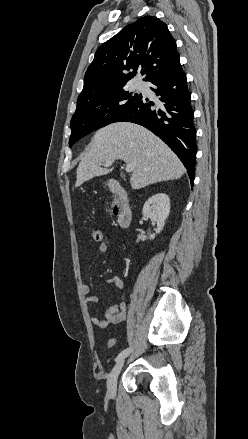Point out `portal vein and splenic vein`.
<instances>
[{"label":"portal vein and splenic vein","instance_id":"obj_1","mask_svg":"<svg viewBox=\"0 0 248 439\" xmlns=\"http://www.w3.org/2000/svg\"><path fill=\"white\" fill-rule=\"evenodd\" d=\"M113 163V161H106L105 163H103L102 165H104L105 167H109L111 166ZM126 172H132L134 170V165L133 164H127L126 168H125Z\"/></svg>","mask_w":248,"mask_h":439}]
</instances>
